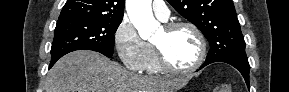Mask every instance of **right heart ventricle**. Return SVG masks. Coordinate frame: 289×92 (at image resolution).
<instances>
[{
    "mask_svg": "<svg viewBox=\"0 0 289 92\" xmlns=\"http://www.w3.org/2000/svg\"><path fill=\"white\" fill-rule=\"evenodd\" d=\"M144 70L148 71L149 73H157L162 70V68L159 65L155 50L152 46H151V54Z\"/></svg>",
    "mask_w": 289,
    "mask_h": 92,
    "instance_id": "right-heart-ventricle-1",
    "label": "right heart ventricle"
}]
</instances>
